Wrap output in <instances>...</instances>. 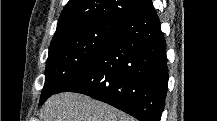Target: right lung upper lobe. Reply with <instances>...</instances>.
<instances>
[{"label": "right lung upper lobe", "mask_w": 217, "mask_h": 121, "mask_svg": "<svg viewBox=\"0 0 217 121\" xmlns=\"http://www.w3.org/2000/svg\"><path fill=\"white\" fill-rule=\"evenodd\" d=\"M151 3V0H69L60 15L52 40L84 22L98 19L127 22Z\"/></svg>", "instance_id": "obj_1"}]
</instances>
